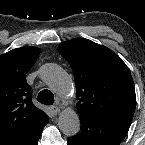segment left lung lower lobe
<instances>
[{"mask_svg": "<svg viewBox=\"0 0 145 145\" xmlns=\"http://www.w3.org/2000/svg\"><path fill=\"white\" fill-rule=\"evenodd\" d=\"M81 129L68 138V145H119L131 121L122 118H90L80 116Z\"/></svg>", "mask_w": 145, "mask_h": 145, "instance_id": "left-lung-lower-lobe-1", "label": "left lung lower lobe"}]
</instances>
